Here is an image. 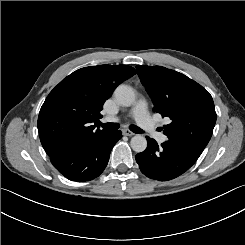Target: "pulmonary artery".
<instances>
[{
  "label": "pulmonary artery",
  "mask_w": 245,
  "mask_h": 245,
  "mask_svg": "<svg viewBox=\"0 0 245 245\" xmlns=\"http://www.w3.org/2000/svg\"><path fill=\"white\" fill-rule=\"evenodd\" d=\"M134 115H135V122L137 126L144 132V133H153L157 129V122L150 117L149 115V106L145 102H138L134 106ZM115 118L107 117L105 118L106 122H112ZM159 140L161 143L166 144L169 142L170 137L168 134L163 133L160 135Z\"/></svg>",
  "instance_id": "obj_1"
}]
</instances>
